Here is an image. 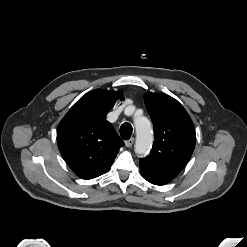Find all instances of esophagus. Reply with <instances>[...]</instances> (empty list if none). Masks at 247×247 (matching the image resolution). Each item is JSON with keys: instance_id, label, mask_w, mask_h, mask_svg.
Segmentation results:
<instances>
[{"instance_id": "1", "label": "esophagus", "mask_w": 247, "mask_h": 247, "mask_svg": "<svg viewBox=\"0 0 247 247\" xmlns=\"http://www.w3.org/2000/svg\"><path fill=\"white\" fill-rule=\"evenodd\" d=\"M133 143H134V138H130V139L125 141V146L130 148V147H132Z\"/></svg>"}]
</instances>
